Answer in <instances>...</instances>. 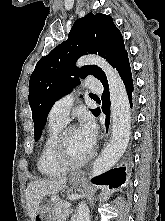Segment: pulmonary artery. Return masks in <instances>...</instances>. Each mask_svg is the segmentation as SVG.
<instances>
[{
  "instance_id": "obj_1",
  "label": "pulmonary artery",
  "mask_w": 165,
  "mask_h": 221,
  "mask_svg": "<svg viewBox=\"0 0 165 221\" xmlns=\"http://www.w3.org/2000/svg\"><path fill=\"white\" fill-rule=\"evenodd\" d=\"M86 88L91 91H100L101 85L100 83L94 79L90 78L87 80L85 84ZM75 94L68 93L61 98H59L54 105L52 106L49 112V120L54 122L66 123L68 121L69 111L74 103Z\"/></svg>"
}]
</instances>
